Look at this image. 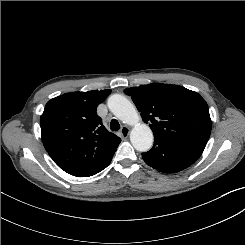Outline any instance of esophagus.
I'll use <instances>...</instances> for the list:
<instances>
[{
  "label": "esophagus",
  "instance_id": "esophagus-1",
  "mask_svg": "<svg viewBox=\"0 0 245 245\" xmlns=\"http://www.w3.org/2000/svg\"><path fill=\"white\" fill-rule=\"evenodd\" d=\"M129 133H130V129L127 126H123L120 130V135L123 138L128 137Z\"/></svg>",
  "mask_w": 245,
  "mask_h": 245
}]
</instances>
